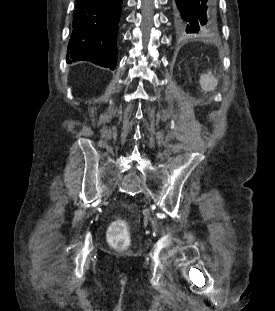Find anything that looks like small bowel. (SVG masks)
Wrapping results in <instances>:
<instances>
[{"instance_id": "1", "label": "small bowel", "mask_w": 275, "mask_h": 311, "mask_svg": "<svg viewBox=\"0 0 275 311\" xmlns=\"http://www.w3.org/2000/svg\"><path fill=\"white\" fill-rule=\"evenodd\" d=\"M203 80H197V87H201L203 98H214L217 91L214 73H203Z\"/></svg>"}]
</instances>
